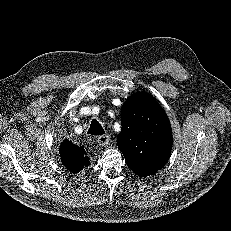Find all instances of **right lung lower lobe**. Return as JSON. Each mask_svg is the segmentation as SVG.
Listing matches in <instances>:
<instances>
[{"label": "right lung lower lobe", "mask_w": 231, "mask_h": 231, "mask_svg": "<svg viewBox=\"0 0 231 231\" xmlns=\"http://www.w3.org/2000/svg\"><path fill=\"white\" fill-rule=\"evenodd\" d=\"M60 147L66 149V150L72 151V152H77V153L85 152L83 147H81V146L79 147L68 140H64L61 143Z\"/></svg>", "instance_id": "98d812e1"}]
</instances>
